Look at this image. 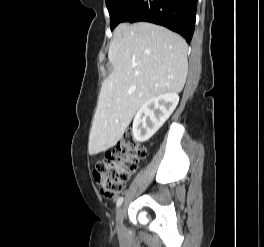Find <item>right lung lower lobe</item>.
Here are the masks:
<instances>
[{"instance_id": "right-lung-lower-lobe-1", "label": "right lung lower lobe", "mask_w": 264, "mask_h": 247, "mask_svg": "<svg viewBox=\"0 0 264 247\" xmlns=\"http://www.w3.org/2000/svg\"><path fill=\"white\" fill-rule=\"evenodd\" d=\"M196 8L197 0H131L119 16V23L146 21L162 25L179 33L189 43Z\"/></svg>"}]
</instances>
